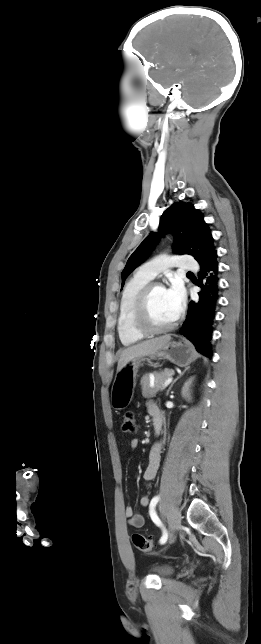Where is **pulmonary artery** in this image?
Listing matches in <instances>:
<instances>
[{"label": "pulmonary artery", "instance_id": "obj_1", "mask_svg": "<svg viewBox=\"0 0 261 644\" xmlns=\"http://www.w3.org/2000/svg\"><path fill=\"white\" fill-rule=\"evenodd\" d=\"M172 267L195 271L197 270L198 265L196 261L188 255H160L143 264L139 268V271L150 278H154L160 272Z\"/></svg>", "mask_w": 261, "mask_h": 644}]
</instances>
